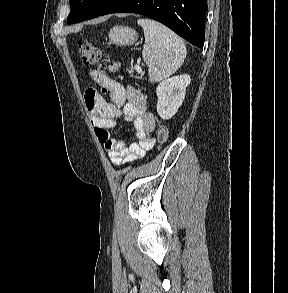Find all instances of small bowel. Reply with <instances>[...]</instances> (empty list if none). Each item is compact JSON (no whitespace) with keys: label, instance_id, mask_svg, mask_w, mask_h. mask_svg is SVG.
Returning <instances> with one entry per match:
<instances>
[{"label":"small bowel","instance_id":"obj_1","mask_svg":"<svg viewBox=\"0 0 288 293\" xmlns=\"http://www.w3.org/2000/svg\"><path fill=\"white\" fill-rule=\"evenodd\" d=\"M94 80L109 93L107 102L95 89H88L84 95L87 113L98 141L104 147L114 165L125 164L143 156L154 145L151 136L155 129V117L147 109L146 98L131 85L92 72ZM123 116L133 124L137 140L130 145L111 136L109 130L116 125V119Z\"/></svg>","mask_w":288,"mask_h":293}]
</instances>
